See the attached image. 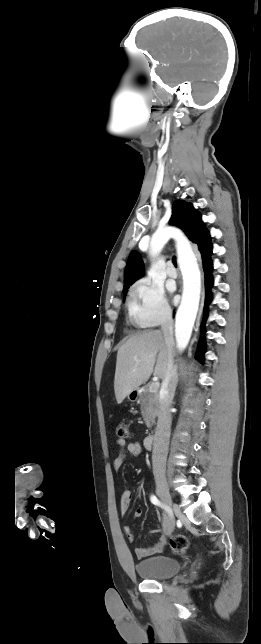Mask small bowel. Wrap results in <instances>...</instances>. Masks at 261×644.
I'll return each mask as SVG.
<instances>
[{
	"mask_svg": "<svg viewBox=\"0 0 261 644\" xmlns=\"http://www.w3.org/2000/svg\"><path fill=\"white\" fill-rule=\"evenodd\" d=\"M117 446H118V455L115 458L113 462V468L118 471L122 467L125 459H126V454L129 453L133 456H140L142 454V447L139 443L137 442H130L127 443L123 439H118L117 440ZM133 498V491L131 489H125L121 493L120 497V513L122 516H125L127 514L128 508L130 501ZM143 515V509L138 507L134 511V518L138 519ZM156 516L158 520L162 524V529L160 528H155L151 532L154 534L158 535V539L150 546L144 547V548H135V554L137 558L142 559L148 556H151L153 554L161 552L165 545H166V539H165V529L168 525L169 522V517L166 514H160L156 512ZM124 533L126 534L127 538L130 541H133L135 538V535L133 533V530L131 529L130 526H124L123 527Z\"/></svg>",
	"mask_w": 261,
	"mask_h": 644,
	"instance_id": "c3829d8e",
	"label": "small bowel"
}]
</instances>
